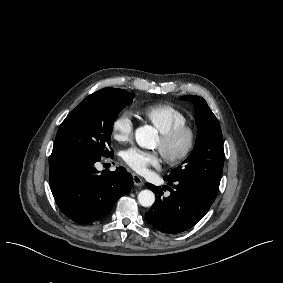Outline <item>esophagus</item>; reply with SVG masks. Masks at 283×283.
Instances as JSON below:
<instances>
[{
	"label": "esophagus",
	"mask_w": 283,
	"mask_h": 283,
	"mask_svg": "<svg viewBox=\"0 0 283 283\" xmlns=\"http://www.w3.org/2000/svg\"><path fill=\"white\" fill-rule=\"evenodd\" d=\"M133 183L136 186H142L144 185V181L137 175V174H133Z\"/></svg>",
	"instance_id": "1"
}]
</instances>
